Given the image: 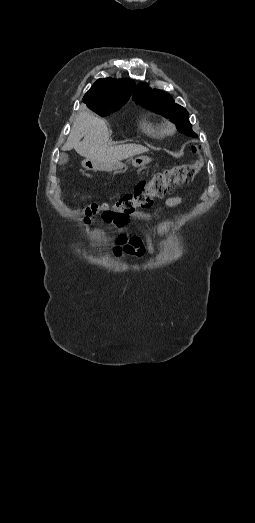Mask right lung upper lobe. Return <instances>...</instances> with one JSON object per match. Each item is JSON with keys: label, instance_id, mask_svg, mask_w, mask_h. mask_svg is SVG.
I'll return each instance as SVG.
<instances>
[{"label": "right lung upper lobe", "instance_id": "1", "mask_svg": "<svg viewBox=\"0 0 255 523\" xmlns=\"http://www.w3.org/2000/svg\"><path fill=\"white\" fill-rule=\"evenodd\" d=\"M135 82L130 79L103 78L97 80L82 101L88 106L104 103L127 102Z\"/></svg>", "mask_w": 255, "mask_h": 523}]
</instances>
